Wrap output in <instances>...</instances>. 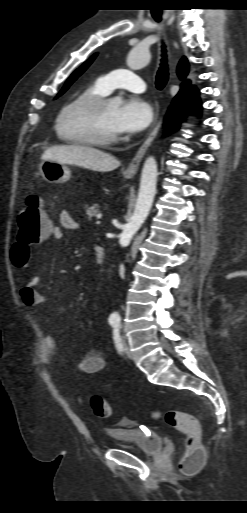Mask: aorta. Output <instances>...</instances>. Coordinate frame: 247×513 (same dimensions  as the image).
Returning a JSON list of instances; mask_svg holds the SVG:
<instances>
[{
    "label": "aorta",
    "mask_w": 247,
    "mask_h": 513,
    "mask_svg": "<svg viewBox=\"0 0 247 513\" xmlns=\"http://www.w3.org/2000/svg\"><path fill=\"white\" fill-rule=\"evenodd\" d=\"M149 61V49L145 47L142 43L135 46L130 51L127 57V65L130 69L133 70H139L145 67L149 63ZM112 102L115 105H121L123 102V98L121 96H116L113 98ZM157 176V162L153 156H149L143 165L139 193L134 213L131 217L130 222L127 225H125L124 231L120 236L121 245L124 246L127 243H129L132 236L146 220L151 210L154 196L156 194ZM118 318V313H113L111 315V319Z\"/></svg>",
    "instance_id": "obj_1"
}]
</instances>
